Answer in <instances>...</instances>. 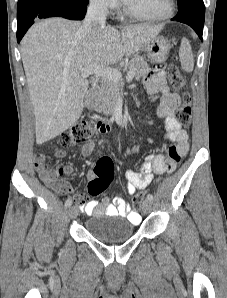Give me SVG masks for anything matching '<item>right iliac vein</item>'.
Here are the masks:
<instances>
[{"mask_svg": "<svg viewBox=\"0 0 227 298\" xmlns=\"http://www.w3.org/2000/svg\"><path fill=\"white\" fill-rule=\"evenodd\" d=\"M78 213H79V209L76 206H72L68 210V215L72 219L76 218L78 216Z\"/></svg>", "mask_w": 227, "mask_h": 298, "instance_id": "right-iliac-vein-1", "label": "right iliac vein"}]
</instances>
